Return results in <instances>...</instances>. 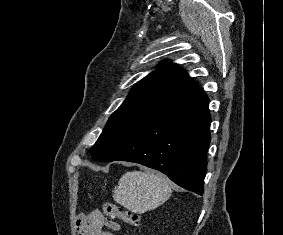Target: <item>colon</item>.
Wrapping results in <instances>:
<instances>
[{"mask_svg": "<svg viewBox=\"0 0 283 235\" xmlns=\"http://www.w3.org/2000/svg\"><path fill=\"white\" fill-rule=\"evenodd\" d=\"M103 210L107 217L111 219H118L128 225L138 226L141 223V218L138 215L125 211L112 202H104Z\"/></svg>", "mask_w": 283, "mask_h": 235, "instance_id": "obj_1", "label": "colon"}]
</instances>
